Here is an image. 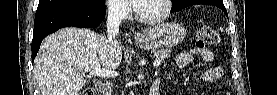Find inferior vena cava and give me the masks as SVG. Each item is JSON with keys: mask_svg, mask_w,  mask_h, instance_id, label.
I'll return each mask as SVG.
<instances>
[{"mask_svg": "<svg viewBox=\"0 0 277 95\" xmlns=\"http://www.w3.org/2000/svg\"><path fill=\"white\" fill-rule=\"evenodd\" d=\"M122 9L121 6L113 4L109 7L107 18V42L110 52L116 51L118 48V41L116 35L119 32V26L121 23Z\"/></svg>", "mask_w": 277, "mask_h": 95, "instance_id": "602c4592", "label": "inferior vena cava"}]
</instances>
